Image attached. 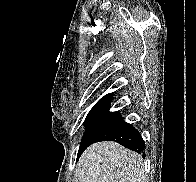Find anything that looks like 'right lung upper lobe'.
<instances>
[{
    "instance_id": "cb5924a9",
    "label": "right lung upper lobe",
    "mask_w": 196,
    "mask_h": 182,
    "mask_svg": "<svg viewBox=\"0 0 196 182\" xmlns=\"http://www.w3.org/2000/svg\"><path fill=\"white\" fill-rule=\"evenodd\" d=\"M112 96L113 94H107L104 97H102L97 103L96 105H101V104H110L111 100H112Z\"/></svg>"
}]
</instances>
